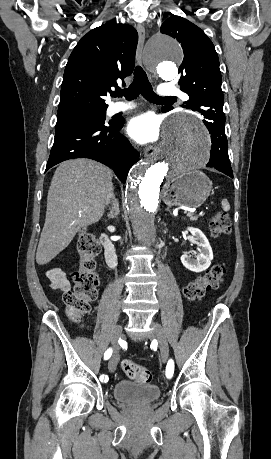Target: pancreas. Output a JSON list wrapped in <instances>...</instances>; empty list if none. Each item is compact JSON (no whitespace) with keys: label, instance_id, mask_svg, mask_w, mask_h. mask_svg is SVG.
I'll list each match as a JSON object with an SVG mask.
<instances>
[{"label":"pancreas","instance_id":"cf45deb5","mask_svg":"<svg viewBox=\"0 0 271 459\" xmlns=\"http://www.w3.org/2000/svg\"><path fill=\"white\" fill-rule=\"evenodd\" d=\"M190 220H197V216H192V217H189Z\"/></svg>","mask_w":271,"mask_h":459}]
</instances>
